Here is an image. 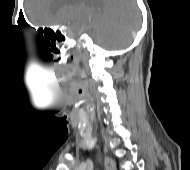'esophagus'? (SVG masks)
I'll return each instance as SVG.
<instances>
[{
    "mask_svg": "<svg viewBox=\"0 0 190 170\" xmlns=\"http://www.w3.org/2000/svg\"><path fill=\"white\" fill-rule=\"evenodd\" d=\"M105 167L106 170H116V163L110 157H105Z\"/></svg>",
    "mask_w": 190,
    "mask_h": 170,
    "instance_id": "esophagus-1",
    "label": "esophagus"
}]
</instances>
